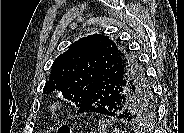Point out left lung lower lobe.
<instances>
[{
  "mask_svg": "<svg viewBox=\"0 0 184 133\" xmlns=\"http://www.w3.org/2000/svg\"><path fill=\"white\" fill-rule=\"evenodd\" d=\"M99 75L96 84L88 99L80 106L78 113H99L102 115L118 118L131 123V116L127 112L128 100L135 89L134 85L127 93L129 86L120 68L113 60L101 55L99 62ZM142 92L150 93L145 86L139 87ZM136 128H140L136 126Z\"/></svg>",
  "mask_w": 184,
  "mask_h": 133,
  "instance_id": "1",
  "label": "left lung lower lobe"
}]
</instances>
